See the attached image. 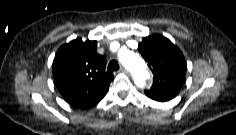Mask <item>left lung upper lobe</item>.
<instances>
[{"label": "left lung upper lobe", "instance_id": "obj_1", "mask_svg": "<svg viewBox=\"0 0 236 135\" xmlns=\"http://www.w3.org/2000/svg\"><path fill=\"white\" fill-rule=\"evenodd\" d=\"M154 74L152 87L145 92L179 91L185 80L186 62L182 52L166 37H145L138 47Z\"/></svg>", "mask_w": 236, "mask_h": 135}]
</instances>
